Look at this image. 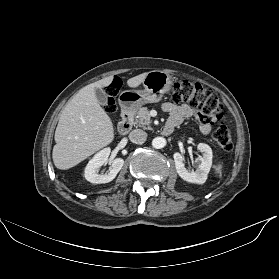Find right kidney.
<instances>
[{
    "mask_svg": "<svg viewBox=\"0 0 279 279\" xmlns=\"http://www.w3.org/2000/svg\"><path fill=\"white\" fill-rule=\"evenodd\" d=\"M110 148H104L100 152L94 155V157L88 162L85 167V179L93 184H103L112 181L121 170L124 160L122 158H116L111 161V167L106 174H98V169L108 162L110 155Z\"/></svg>",
    "mask_w": 279,
    "mask_h": 279,
    "instance_id": "obj_1",
    "label": "right kidney"
}]
</instances>
